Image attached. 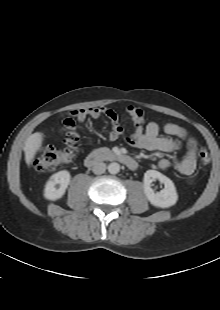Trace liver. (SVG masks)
<instances>
[{
	"instance_id": "1",
	"label": "liver",
	"mask_w": 220,
	"mask_h": 310,
	"mask_svg": "<svg viewBox=\"0 0 220 310\" xmlns=\"http://www.w3.org/2000/svg\"><path fill=\"white\" fill-rule=\"evenodd\" d=\"M43 133L36 132L28 137L24 146L25 162L28 166L32 163L37 152L42 146Z\"/></svg>"
}]
</instances>
